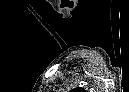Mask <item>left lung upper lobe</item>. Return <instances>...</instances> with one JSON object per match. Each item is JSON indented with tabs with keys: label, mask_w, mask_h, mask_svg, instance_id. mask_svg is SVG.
<instances>
[{
	"label": "left lung upper lobe",
	"mask_w": 129,
	"mask_h": 92,
	"mask_svg": "<svg viewBox=\"0 0 129 92\" xmlns=\"http://www.w3.org/2000/svg\"><path fill=\"white\" fill-rule=\"evenodd\" d=\"M71 92H86V91L82 88H75V89L71 90Z\"/></svg>",
	"instance_id": "obj_1"
}]
</instances>
